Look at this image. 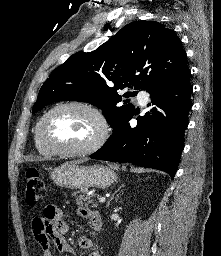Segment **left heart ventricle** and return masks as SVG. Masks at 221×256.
I'll list each match as a JSON object with an SVG mask.
<instances>
[{"label":"left heart ventricle","instance_id":"obj_1","mask_svg":"<svg viewBox=\"0 0 221 256\" xmlns=\"http://www.w3.org/2000/svg\"><path fill=\"white\" fill-rule=\"evenodd\" d=\"M48 142L65 148H80L93 142L99 134L97 119L88 111L69 107L54 112L44 125Z\"/></svg>","mask_w":221,"mask_h":256}]
</instances>
